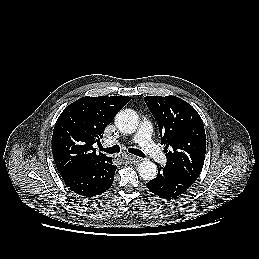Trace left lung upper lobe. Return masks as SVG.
I'll return each mask as SVG.
<instances>
[{
  "instance_id": "5c2ea615",
  "label": "left lung upper lobe",
  "mask_w": 259,
  "mask_h": 259,
  "mask_svg": "<svg viewBox=\"0 0 259 259\" xmlns=\"http://www.w3.org/2000/svg\"><path fill=\"white\" fill-rule=\"evenodd\" d=\"M144 100L159 126L166 165L194 183L203 168L206 152V135L200 115L175 96H147Z\"/></svg>"
}]
</instances>
